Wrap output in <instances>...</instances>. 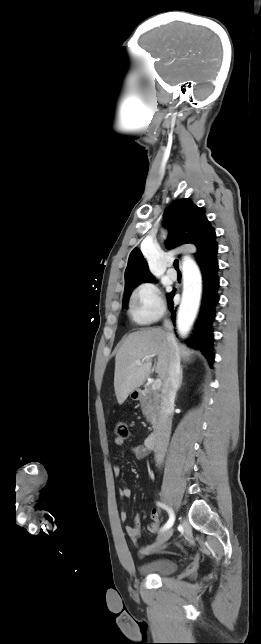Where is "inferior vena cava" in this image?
<instances>
[{
	"label": "inferior vena cava",
	"instance_id": "602c4592",
	"mask_svg": "<svg viewBox=\"0 0 261 644\" xmlns=\"http://www.w3.org/2000/svg\"><path fill=\"white\" fill-rule=\"evenodd\" d=\"M164 327L169 330L167 332V338L172 343L174 351L170 357L167 378L163 383L160 401L159 420L154 448L155 461L158 465H161L163 463L169 444L172 427L171 414L174 407V400L181 373L180 355L176 348L174 335L171 332V322L169 320H165Z\"/></svg>",
	"mask_w": 261,
	"mask_h": 644
}]
</instances>
